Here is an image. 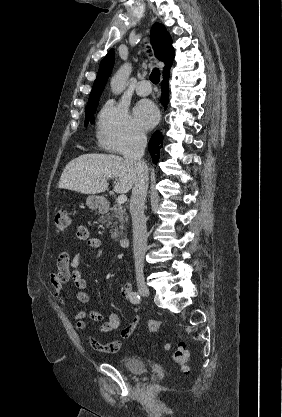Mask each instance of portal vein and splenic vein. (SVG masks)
I'll return each mask as SVG.
<instances>
[{
	"label": "portal vein and splenic vein",
	"instance_id": "obj_1",
	"mask_svg": "<svg viewBox=\"0 0 282 417\" xmlns=\"http://www.w3.org/2000/svg\"><path fill=\"white\" fill-rule=\"evenodd\" d=\"M117 200H118L119 204H122V202H126V200H127L126 194H119Z\"/></svg>",
	"mask_w": 282,
	"mask_h": 417
}]
</instances>
